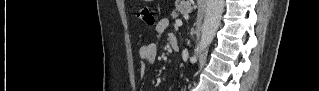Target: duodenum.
Wrapping results in <instances>:
<instances>
[{
    "label": "duodenum",
    "mask_w": 319,
    "mask_h": 91,
    "mask_svg": "<svg viewBox=\"0 0 319 91\" xmlns=\"http://www.w3.org/2000/svg\"><path fill=\"white\" fill-rule=\"evenodd\" d=\"M170 45H171V48L174 51H178L179 50V42H178V39L175 36H171L170 37Z\"/></svg>",
    "instance_id": "duodenum-1"
}]
</instances>
